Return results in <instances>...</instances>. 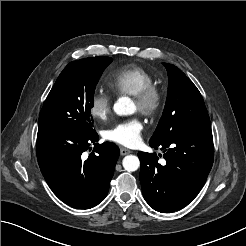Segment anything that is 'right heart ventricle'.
Returning a JSON list of instances; mask_svg holds the SVG:
<instances>
[{
	"label": "right heart ventricle",
	"instance_id": "e07e8e85",
	"mask_svg": "<svg viewBox=\"0 0 246 246\" xmlns=\"http://www.w3.org/2000/svg\"><path fill=\"white\" fill-rule=\"evenodd\" d=\"M110 88L118 95L134 96L154 84L153 76L138 66H125L115 70L108 79Z\"/></svg>",
	"mask_w": 246,
	"mask_h": 246
}]
</instances>
